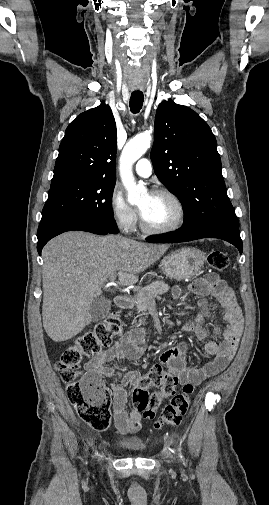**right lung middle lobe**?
Returning <instances> with one entry per match:
<instances>
[{
	"mask_svg": "<svg viewBox=\"0 0 269 505\" xmlns=\"http://www.w3.org/2000/svg\"><path fill=\"white\" fill-rule=\"evenodd\" d=\"M114 185L115 181H92L52 187L48 192L41 221L65 216L117 233L118 228L111 209Z\"/></svg>",
	"mask_w": 269,
	"mask_h": 505,
	"instance_id": "right-lung-middle-lobe-1",
	"label": "right lung middle lobe"
}]
</instances>
